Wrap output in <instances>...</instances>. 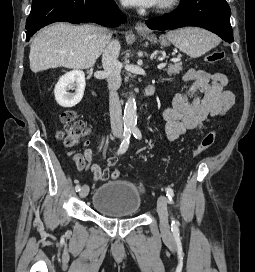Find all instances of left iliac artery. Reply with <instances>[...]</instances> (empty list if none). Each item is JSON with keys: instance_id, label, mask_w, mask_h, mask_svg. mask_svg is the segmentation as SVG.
Here are the masks:
<instances>
[{"instance_id": "1", "label": "left iliac artery", "mask_w": 255, "mask_h": 272, "mask_svg": "<svg viewBox=\"0 0 255 272\" xmlns=\"http://www.w3.org/2000/svg\"><path fill=\"white\" fill-rule=\"evenodd\" d=\"M132 133L136 139H141V132L137 127L132 128ZM165 191H166V196L168 197V201L171 202L174 197L173 189H171L170 187H167L165 188ZM171 230L175 236L179 235L178 222L175 219L172 220Z\"/></svg>"}]
</instances>
